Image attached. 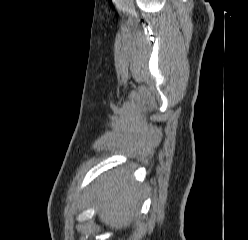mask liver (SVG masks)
Listing matches in <instances>:
<instances>
[{
	"label": "liver",
	"mask_w": 248,
	"mask_h": 240,
	"mask_svg": "<svg viewBox=\"0 0 248 240\" xmlns=\"http://www.w3.org/2000/svg\"><path fill=\"white\" fill-rule=\"evenodd\" d=\"M94 193L101 222L121 229L129 226L136 215L142 188L132 180L128 169H117L101 178Z\"/></svg>",
	"instance_id": "1"
}]
</instances>
